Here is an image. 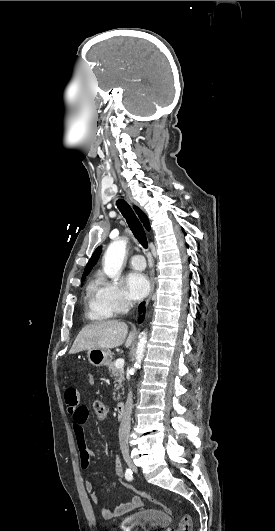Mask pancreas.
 Returning a JSON list of instances; mask_svg holds the SVG:
<instances>
[{
	"label": "pancreas",
	"mask_w": 275,
	"mask_h": 531,
	"mask_svg": "<svg viewBox=\"0 0 275 531\" xmlns=\"http://www.w3.org/2000/svg\"><path fill=\"white\" fill-rule=\"evenodd\" d=\"M108 371L111 373L110 377H114V393H113V401H118L120 399L121 393H119V389L123 387L124 381H125V375H124V369H116L115 367V361H111L108 365Z\"/></svg>",
	"instance_id": "pancreas-1"
}]
</instances>
